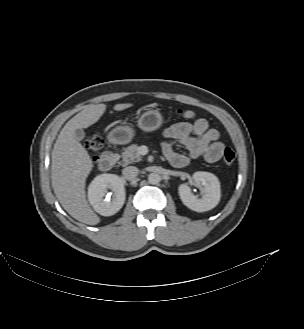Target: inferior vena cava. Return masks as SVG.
I'll return each mask as SVG.
<instances>
[{"label":"inferior vena cava","instance_id":"obj_1","mask_svg":"<svg viewBox=\"0 0 304 329\" xmlns=\"http://www.w3.org/2000/svg\"><path fill=\"white\" fill-rule=\"evenodd\" d=\"M139 173V169L135 166H128V167H125L122 171V174H123V177L126 179V180H133L137 177Z\"/></svg>","mask_w":304,"mask_h":329}]
</instances>
